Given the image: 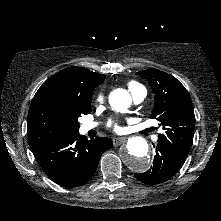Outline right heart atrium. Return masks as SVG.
<instances>
[{
	"label": "right heart atrium",
	"mask_w": 221,
	"mask_h": 221,
	"mask_svg": "<svg viewBox=\"0 0 221 221\" xmlns=\"http://www.w3.org/2000/svg\"><path fill=\"white\" fill-rule=\"evenodd\" d=\"M103 100H104V96H103L102 94H99V95L97 96V101L101 102V101H103Z\"/></svg>",
	"instance_id": "1"
}]
</instances>
